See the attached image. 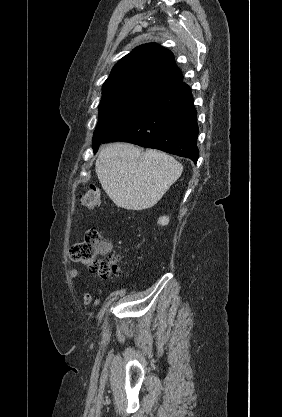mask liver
I'll return each mask as SVG.
<instances>
[{
	"instance_id": "liver-1",
	"label": "liver",
	"mask_w": 282,
	"mask_h": 417,
	"mask_svg": "<svg viewBox=\"0 0 282 417\" xmlns=\"http://www.w3.org/2000/svg\"><path fill=\"white\" fill-rule=\"evenodd\" d=\"M97 176L111 200L121 209H150L182 174L181 162L166 152L113 142L96 160Z\"/></svg>"
}]
</instances>
